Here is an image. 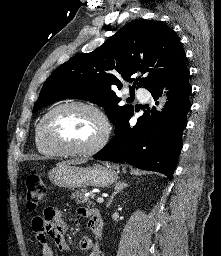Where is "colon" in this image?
I'll use <instances>...</instances> for the list:
<instances>
[{
  "label": "colon",
  "instance_id": "colon-1",
  "mask_svg": "<svg viewBox=\"0 0 221 256\" xmlns=\"http://www.w3.org/2000/svg\"><path fill=\"white\" fill-rule=\"evenodd\" d=\"M26 206L33 211L46 196L45 184L38 172L31 170L26 174Z\"/></svg>",
  "mask_w": 221,
  "mask_h": 256
}]
</instances>
